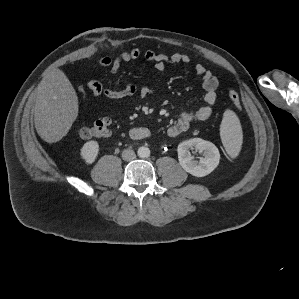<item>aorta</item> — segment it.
Wrapping results in <instances>:
<instances>
[{
    "mask_svg": "<svg viewBox=\"0 0 299 299\" xmlns=\"http://www.w3.org/2000/svg\"><path fill=\"white\" fill-rule=\"evenodd\" d=\"M138 156L141 158H147L150 156V149L148 147L145 146H141L138 148Z\"/></svg>",
    "mask_w": 299,
    "mask_h": 299,
    "instance_id": "aorta-1",
    "label": "aorta"
}]
</instances>
